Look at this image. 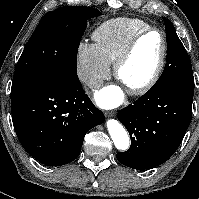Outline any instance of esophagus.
I'll return each instance as SVG.
<instances>
[{"label": "esophagus", "mask_w": 199, "mask_h": 199, "mask_svg": "<svg viewBox=\"0 0 199 199\" xmlns=\"http://www.w3.org/2000/svg\"><path fill=\"white\" fill-rule=\"evenodd\" d=\"M106 115L109 116V117H114L116 115V112L115 111H109V112H106Z\"/></svg>", "instance_id": "obj_1"}]
</instances>
